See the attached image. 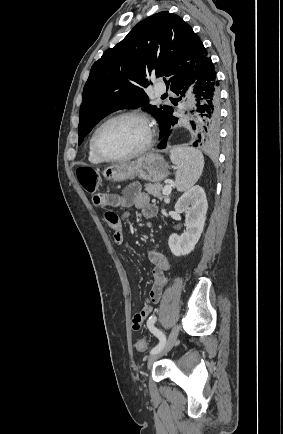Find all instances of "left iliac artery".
Wrapping results in <instances>:
<instances>
[{
    "label": "left iliac artery",
    "instance_id": "obj_1",
    "mask_svg": "<svg viewBox=\"0 0 283 434\" xmlns=\"http://www.w3.org/2000/svg\"><path fill=\"white\" fill-rule=\"evenodd\" d=\"M157 317H150V319L147 322V326L150 329V331L159 339V343L150 351V354L157 353L160 351L165 343H166V337L162 331L154 327V323L156 322Z\"/></svg>",
    "mask_w": 283,
    "mask_h": 434
}]
</instances>
